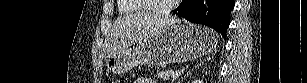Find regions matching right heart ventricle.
Returning <instances> with one entry per match:
<instances>
[{"label": "right heart ventricle", "instance_id": "obj_1", "mask_svg": "<svg viewBox=\"0 0 307 83\" xmlns=\"http://www.w3.org/2000/svg\"><path fill=\"white\" fill-rule=\"evenodd\" d=\"M145 10L136 0H119L118 11L120 14H131Z\"/></svg>", "mask_w": 307, "mask_h": 83}]
</instances>
